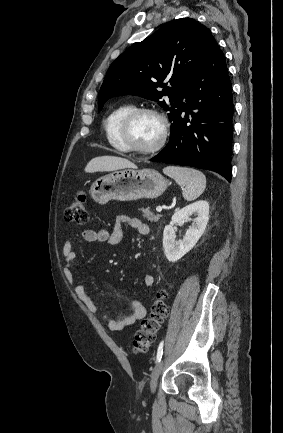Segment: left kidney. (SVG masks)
Listing matches in <instances>:
<instances>
[{"label": "left kidney", "mask_w": 283, "mask_h": 433, "mask_svg": "<svg viewBox=\"0 0 283 433\" xmlns=\"http://www.w3.org/2000/svg\"><path fill=\"white\" fill-rule=\"evenodd\" d=\"M191 215L196 216L192 225L189 226L184 238L176 241L174 225L190 220ZM208 219L209 203L205 200L196 201L174 213L170 224L165 226L163 232V248L168 261H178L196 245L206 229Z\"/></svg>", "instance_id": "5707ae66"}]
</instances>
